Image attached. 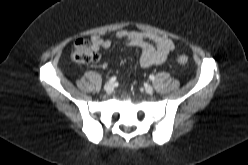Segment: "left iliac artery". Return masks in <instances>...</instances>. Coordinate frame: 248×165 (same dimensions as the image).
I'll return each instance as SVG.
<instances>
[{"mask_svg":"<svg viewBox=\"0 0 248 165\" xmlns=\"http://www.w3.org/2000/svg\"><path fill=\"white\" fill-rule=\"evenodd\" d=\"M149 79H150V80H154V79H155L154 75H150V76H149Z\"/></svg>","mask_w":248,"mask_h":165,"instance_id":"obj_1","label":"left iliac artery"}]
</instances>
